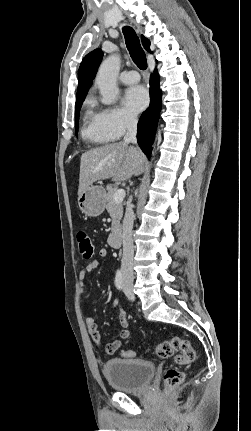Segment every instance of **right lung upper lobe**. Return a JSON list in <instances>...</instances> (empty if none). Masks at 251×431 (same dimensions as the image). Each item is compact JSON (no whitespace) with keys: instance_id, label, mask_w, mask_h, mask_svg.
Listing matches in <instances>:
<instances>
[{"instance_id":"obj_1","label":"right lung upper lobe","mask_w":251,"mask_h":431,"mask_svg":"<svg viewBox=\"0 0 251 431\" xmlns=\"http://www.w3.org/2000/svg\"><path fill=\"white\" fill-rule=\"evenodd\" d=\"M141 41L145 50L151 52L150 41L143 35L141 36ZM102 57V50L95 49L83 58L78 71V92L76 94V100L86 97L89 87L92 85L95 78Z\"/></svg>"}]
</instances>
